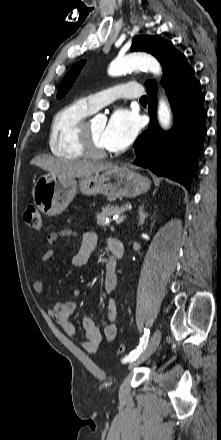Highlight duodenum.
I'll return each instance as SVG.
<instances>
[{
  "instance_id": "1",
  "label": "duodenum",
  "mask_w": 221,
  "mask_h": 440,
  "mask_svg": "<svg viewBox=\"0 0 221 440\" xmlns=\"http://www.w3.org/2000/svg\"><path fill=\"white\" fill-rule=\"evenodd\" d=\"M109 249L112 254L113 261L106 263V270L113 272L116 271V261L120 259L124 254V245L119 239H112L109 244Z\"/></svg>"
}]
</instances>
